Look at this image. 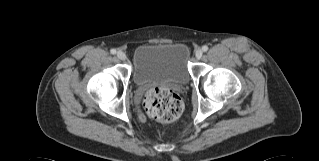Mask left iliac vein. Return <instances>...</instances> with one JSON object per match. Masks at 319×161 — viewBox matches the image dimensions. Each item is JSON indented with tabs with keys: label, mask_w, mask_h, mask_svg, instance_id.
Here are the masks:
<instances>
[{
	"label": "left iliac vein",
	"mask_w": 319,
	"mask_h": 161,
	"mask_svg": "<svg viewBox=\"0 0 319 161\" xmlns=\"http://www.w3.org/2000/svg\"><path fill=\"white\" fill-rule=\"evenodd\" d=\"M202 54H203V51L201 49H197L195 52V56L198 59L202 57Z\"/></svg>",
	"instance_id": "obj_1"
}]
</instances>
